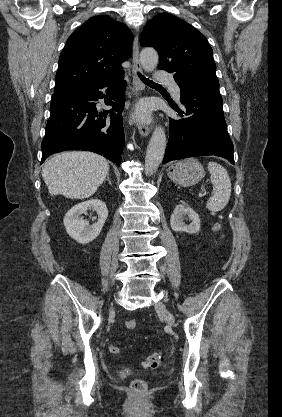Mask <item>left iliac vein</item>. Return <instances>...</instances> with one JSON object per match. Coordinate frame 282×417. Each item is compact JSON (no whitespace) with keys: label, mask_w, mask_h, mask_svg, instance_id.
<instances>
[{"label":"left iliac vein","mask_w":282,"mask_h":417,"mask_svg":"<svg viewBox=\"0 0 282 417\" xmlns=\"http://www.w3.org/2000/svg\"><path fill=\"white\" fill-rule=\"evenodd\" d=\"M155 309L157 310L158 313H160L164 320L166 321V323L170 326H174L175 325V318L172 315V313L167 309L166 305L162 302L159 301L155 304Z\"/></svg>","instance_id":"obj_1"}]
</instances>
